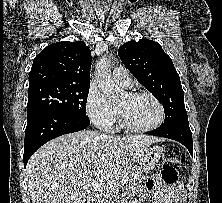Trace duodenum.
Here are the masks:
<instances>
[{
    "label": "duodenum",
    "mask_w": 222,
    "mask_h": 203,
    "mask_svg": "<svg viewBox=\"0 0 222 203\" xmlns=\"http://www.w3.org/2000/svg\"><path fill=\"white\" fill-rule=\"evenodd\" d=\"M88 203H97V198L95 195H92L89 199V202Z\"/></svg>",
    "instance_id": "duodenum-1"
}]
</instances>
